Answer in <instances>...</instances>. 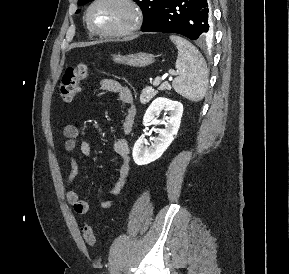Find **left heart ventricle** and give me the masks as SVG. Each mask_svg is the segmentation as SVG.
Instances as JSON below:
<instances>
[{"label": "left heart ventricle", "instance_id": "obj_1", "mask_svg": "<svg viewBox=\"0 0 289 274\" xmlns=\"http://www.w3.org/2000/svg\"><path fill=\"white\" fill-rule=\"evenodd\" d=\"M92 24L100 30H116L129 22L130 13L126 6L114 1L96 5L90 14Z\"/></svg>", "mask_w": 289, "mask_h": 274}]
</instances>
